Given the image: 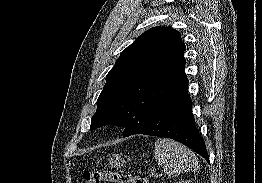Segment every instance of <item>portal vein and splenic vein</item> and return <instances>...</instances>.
<instances>
[{
	"label": "portal vein and splenic vein",
	"mask_w": 262,
	"mask_h": 183,
	"mask_svg": "<svg viewBox=\"0 0 262 183\" xmlns=\"http://www.w3.org/2000/svg\"><path fill=\"white\" fill-rule=\"evenodd\" d=\"M151 175H157L155 171H151Z\"/></svg>",
	"instance_id": "1"
}]
</instances>
